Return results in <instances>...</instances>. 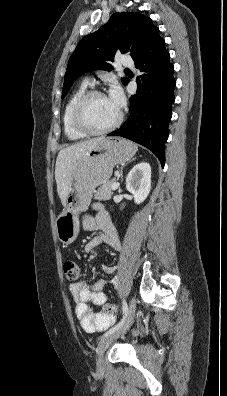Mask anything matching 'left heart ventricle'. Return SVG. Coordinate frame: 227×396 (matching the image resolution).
<instances>
[{"instance_id": "b2bd125f", "label": "left heart ventricle", "mask_w": 227, "mask_h": 396, "mask_svg": "<svg viewBox=\"0 0 227 396\" xmlns=\"http://www.w3.org/2000/svg\"><path fill=\"white\" fill-rule=\"evenodd\" d=\"M119 110L106 96L92 98L86 108V119L95 128H104L112 124L118 117Z\"/></svg>"}]
</instances>
